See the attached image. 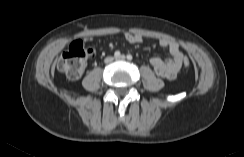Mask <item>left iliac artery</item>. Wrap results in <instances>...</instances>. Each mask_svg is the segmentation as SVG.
I'll use <instances>...</instances> for the list:
<instances>
[{
    "instance_id": "left-iliac-artery-1",
    "label": "left iliac artery",
    "mask_w": 244,
    "mask_h": 157,
    "mask_svg": "<svg viewBox=\"0 0 244 157\" xmlns=\"http://www.w3.org/2000/svg\"><path fill=\"white\" fill-rule=\"evenodd\" d=\"M127 59H128V60H132V59H133L132 55H131V54H128V55H127Z\"/></svg>"
}]
</instances>
